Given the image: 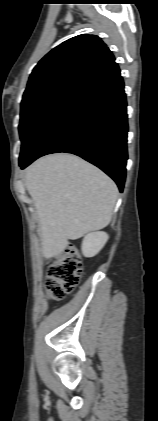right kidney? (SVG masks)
I'll use <instances>...</instances> for the list:
<instances>
[{
	"mask_svg": "<svg viewBox=\"0 0 158 421\" xmlns=\"http://www.w3.org/2000/svg\"><path fill=\"white\" fill-rule=\"evenodd\" d=\"M108 234L105 232H93L87 234L82 242V253L85 257L97 255L108 241Z\"/></svg>",
	"mask_w": 158,
	"mask_h": 421,
	"instance_id": "ca27d5eb",
	"label": "right kidney"
}]
</instances>
